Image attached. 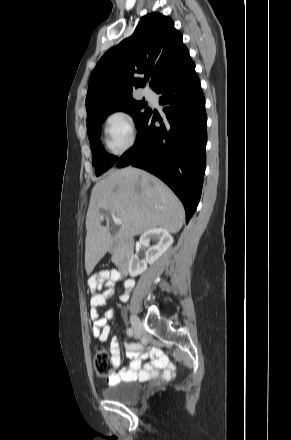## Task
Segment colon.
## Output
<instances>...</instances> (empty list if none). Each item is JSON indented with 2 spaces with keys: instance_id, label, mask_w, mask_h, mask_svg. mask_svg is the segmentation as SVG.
<instances>
[{
  "instance_id": "obj_1",
  "label": "colon",
  "mask_w": 291,
  "mask_h": 440,
  "mask_svg": "<svg viewBox=\"0 0 291 440\" xmlns=\"http://www.w3.org/2000/svg\"><path fill=\"white\" fill-rule=\"evenodd\" d=\"M93 368L97 375L108 376L111 372V364L106 351L98 348L93 358Z\"/></svg>"
}]
</instances>
